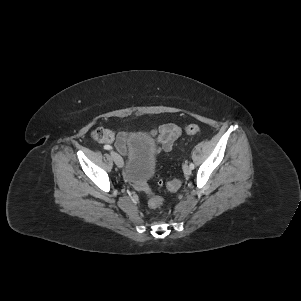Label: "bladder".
I'll use <instances>...</instances> for the list:
<instances>
[{
  "instance_id": "bladder-1",
  "label": "bladder",
  "mask_w": 301,
  "mask_h": 301,
  "mask_svg": "<svg viewBox=\"0 0 301 301\" xmlns=\"http://www.w3.org/2000/svg\"><path fill=\"white\" fill-rule=\"evenodd\" d=\"M154 158V145L149 139L139 135L132 137L125 166L127 179L134 183L144 182L152 173Z\"/></svg>"
}]
</instances>
